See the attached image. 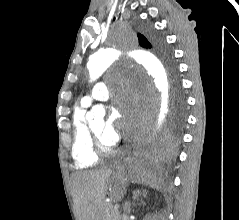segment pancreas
Returning a JSON list of instances; mask_svg holds the SVG:
<instances>
[{"label":"pancreas","mask_w":239,"mask_h":220,"mask_svg":"<svg viewBox=\"0 0 239 220\" xmlns=\"http://www.w3.org/2000/svg\"><path fill=\"white\" fill-rule=\"evenodd\" d=\"M120 212L114 209L112 203L105 205L103 211V220H120Z\"/></svg>","instance_id":"pancreas-1"}]
</instances>
